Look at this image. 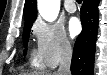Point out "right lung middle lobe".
Here are the masks:
<instances>
[{
    "instance_id": "obj_1",
    "label": "right lung middle lobe",
    "mask_w": 107,
    "mask_h": 75,
    "mask_svg": "<svg viewBox=\"0 0 107 75\" xmlns=\"http://www.w3.org/2000/svg\"><path fill=\"white\" fill-rule=\"evenodd\" d=\"M32 24L33 23H26L24 26L23 43H24L25 47L27 46V42H28L29 34H30V28H31ZM26 51H27V49L24 50V52H23L24 55L26 54Z\"/></svg>"
}]
</instances>
